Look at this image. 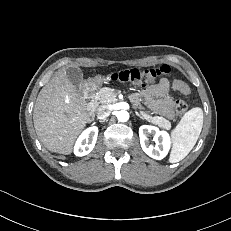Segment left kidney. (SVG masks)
Instances as JSON below:
<instances>
[{"label": "left kidney", "mask_w": 231, "mask_h": 231, "mask_svg": "<svg viewBox=\"0 0 231 231\" xmlns=\"http://www.w3.org/2000/svg\"><path fill=\"white\" fill-rule=\"evenodd\" d=\"M154 135L155 147L149 144L148 137ZM140 144L143 151L153 159L161 160L167 156L171 147V138L166 131H160L158 127L142 125L139 128Z\"/></svg>", "instance_id": "1"}]
</instances>
